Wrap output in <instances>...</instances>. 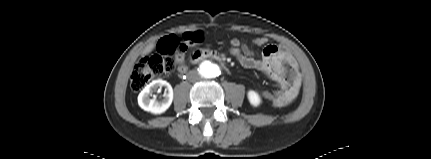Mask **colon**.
I'll return each mask as SVG.
<instances>
[{"instance_id":"colon-1","label":"colon","mask_w":431,"mask_h":159,"mask_svg":"<svg viewBox=\"0 0 431 159\" xmlns=\"http://www.w3.org/2000/svg\"><path fill=\"white\" fill-rule=\"evenodd\" d=\"M200 39L201 35L198 32L182 36L169 35L161 39L157 52L142 58L134 67L130 77L131 88L140 91L152 80L173 72L176 66L175 57H182L186 50ZM229 48V51H225L226 55H241L244 51L242 46ZM260 94L268 99L272 97V92L266 93L263 90Z\"/></svg>"}]
</instances>
